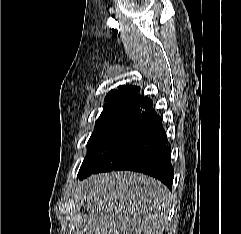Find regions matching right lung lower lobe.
Returning <instances> with one entry per match:
<instances>
[{"instance_id": "1", "label": "right lung lower lobe", "mask_w": 241, "mask_h": 234, "mask_svg": "<svg viewBox=\"0 0 241 234\" xmlns=\"http://www.w3.org/2000/svg\"><path fill=\"white\" fill-rule=\"evenodd\" d=\"M170 153L161 118L147 99L100 144L78 177L131 170L153 176L171 189L174 170Z\"/></svg>"}]
</instances>
